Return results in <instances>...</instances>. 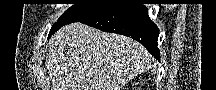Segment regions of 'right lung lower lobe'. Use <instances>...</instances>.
<instances>
[{"label": "right lung lower lobe", "mask_w": 216, "mask_h": 90, "mask_svg": "<svg viewBox=\"0 0 216 90\" xmlns=\"http://www.w3.org/2000/svg\"><path fill=\"white\" fill-rule=\"evenodd\" d=\"M77 22L102 31L131 37L143 44L150 54L160 60L157 48L159 29L150 20L144 5L117 4L105 12Z\"/></svg>", "instance_id": "right-lung-lower-lobe-1"}]
</instances>
